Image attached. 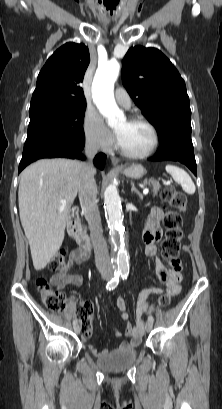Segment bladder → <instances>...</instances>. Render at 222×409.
Segmentation results:
<instances>
[{
	"instance_id": "bladder-1",
	"label": "bladder",
	"mask_w": 222,
	"mask_h": 409,
	"mask_svg": "<svg viewBox=\"0 0 222 409\" xmlns=\"http://www.w3.org/2000/svg\"><path fill=\"white\" fill-rule=\"evenodd\" d=\"M137 355L134 347L118 348L97 360V366L103 371H123L132 366Z\"/></svg>"
}]
</instances>
